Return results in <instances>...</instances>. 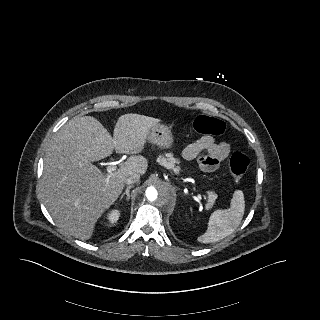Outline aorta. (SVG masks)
Returning <instances> with one entry per match:
<instances>
[{
  "label": "aorta",
  "mask_w": 320,
  "mask_h": 320,
  "mask_svg": "<svg viewBox=\"0 0 320 320\" xmlns=\"http://www.w3.org/2000/svg\"><path fill=\"white\" fill-rule=\"evenodd\" d=\"M143 198L153 211L161 213L164 206L173 198V190L169 184L155 180L145 190Z\"/></svg>",
  "instance_id": "aorta-1"
}]
</instances>
